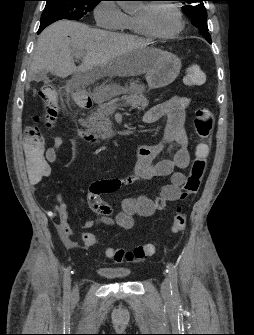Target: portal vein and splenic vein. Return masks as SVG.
Segmentation results:
<instances>
[{
    "label": "portal vein and splenic vein",
    "instance_id": "18ae733b",
    "mask_svg": "<svg viewBox=\"0 0 254 335\" xmlns=\"http://www.w3.org/2000/svg\"><path fill=\"white\" fill-rule=\"evenodd\" d=\"M84 57V54L83 53H77V54H75V58L76 59H81V58H83Z\"/></svg>",
    "mask_w": 254,
    "mask_h": 335
}]
</instances>
